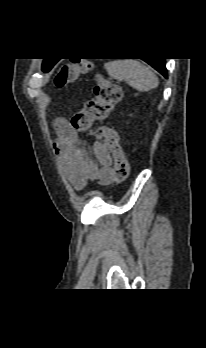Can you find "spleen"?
<instances>
[{"instance_id": "spleen-1", "label": "spleen", "mask_w": 206, "mask_h": 348, "mask_svg": "<svg viewBox=\"0 0 206 348\" xmlns=\"http://www.w3.org/2000/svg\"><path fill=\"white\" fill-rule=\"evenodd\" d=\"M110 77L125 81L139 92L155 89L159 80L152 69L137 60L110 61L105 65Z\"/></svg>"}]
</instances>
